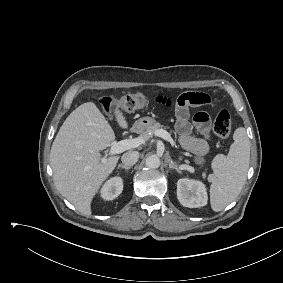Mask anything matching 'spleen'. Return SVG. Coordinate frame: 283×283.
Segmentation results:
<instances>
[{
    "label": "spleen",
    "mask_w": 283,
    "mask_h": 283,
    "mask_svg": "<svg viewBox=\"0 0 283 283\" xmlns=\"http://www.w3.org/2000/svg\"><path fill=\"white\" fill-rule=\"evenodd\" d=\"M233 138L228 155L218 154L212 162L214 174L210 187V203L215 212L223 210L236 199L243 188L249 168L250 142L245 128H237Z\"/></svg>",
    "instance_id": "spleen-1"
}]
</instances>
